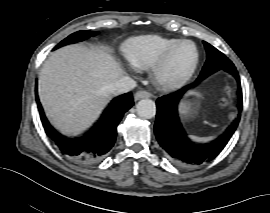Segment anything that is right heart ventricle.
Instances as JSON below:
<instances>
[{
    "instance_id": "1",
    "label": "right heart ventricle",
    "mask_w": 270,
    "mask_h": 213,
    "mask_svg": "<svg viewBox=\"0 0 270 213\" xmlns=\"http://www.w3.org/2000/svg\"><path fill=\"white\" fill-rule=\"evenodd\" d=\"M177 40L158 35L137 37L131 40L125 51V57L133 67L149 69Z\"/></svg>"
}]
</instances>
